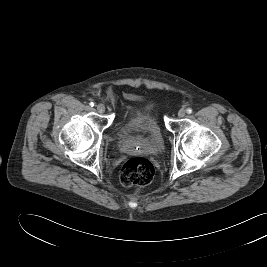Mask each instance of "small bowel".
Returning a JSON list of instances; mask_svg holds the SVG:
<instances>
[{
    "instance_id": "c3829d8e",
    "label": "small bowel",
    "mask_w": 267,
    "mask_h": 267,
    "mask_svg": "<svg viewBox=\"0 0 267 267\" xmlns=\"http://www.w3.org/2000/svg\"><path fill=\"white\" fill-rule=\"evenodd\" d=\"M126 99L143 105V110L145 112L149 111L152 107L151 103L147 102L146 99L135 93H127L125 95ZM153 122L147 118H141L135 122V125L143 130L150 131L152 129Z\"/></svg>"
}]
</instances>
